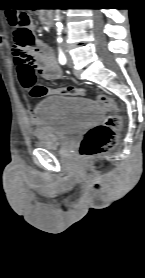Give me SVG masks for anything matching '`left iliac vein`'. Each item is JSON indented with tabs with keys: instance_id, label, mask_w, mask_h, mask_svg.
I'll list each match as a JSON object with an SVG mask.
<instances>
[{
	"instance_id": "1",
	"label": "left iliac vein",
	"mask_w": 145,
	"mask_h": 278,
	"mask_svg": "<svg viewBox=\"0 0 145 278\" xmlns=\"http://www.w3.org/2000/svg\"><path fill=\"white\" fill-rule=\"evenodd\" d=\"M67 64L69 67L72 66V58L70 55H68V63Z\"/></svg>"
}]
</instances>
